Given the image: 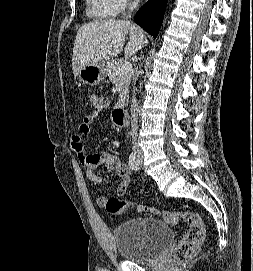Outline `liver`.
Returning a JSON list of instances; mask_svg holds the SVG:
<instances>
[{"label":"liver","instance_id":"obj_1","mask_svg":"<svg viewBox=\"0 0 253 271\" xmlns=\"http://www.w3.org/2000/svg\"><path fill=\"white\" fill-rule=\"evenodd\" d=\"M129 41L124 48L125 58L137 53L148 43L142 30L128 20L109 19L83 25L77 31L73 47L72 69L75 77L87 65L97 64L121 53L125 36Z\"/></svg>","mask_w":253,"mask_h":271}]
</instances>
